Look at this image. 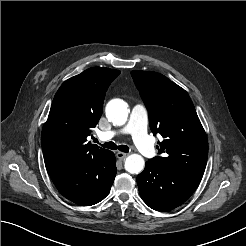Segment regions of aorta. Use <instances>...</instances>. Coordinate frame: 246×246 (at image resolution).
I'll list each match as a JSON object with an SVG mask.
<instances>
[{
	"label": "aorta",
	"instance_id": "obj_1",
	"mask_svg": "<svg viewBox=\"0 0 246 246\" xmlns=\"http://www.w3.org/2000/svg\"><path fill=\"white\" fill-rule=\"evenodd\" d=\"M106 116L114 125H124L128 119L127 104L121 99H113L106 106ZM145 166L143 157L139 154H131L125 160V170L131 174H139Z\"/></svg>",
	"mask_w": 246,
	"mask_h": 246
}]
</instances>
